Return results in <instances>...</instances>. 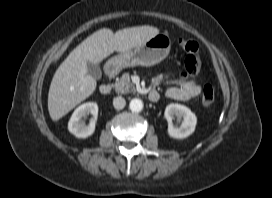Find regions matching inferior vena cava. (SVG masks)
<instances>
[{
	"instance_id": "602c4592",
	"label": "inferior vena cava",
	"mask_w": 272,
	"mask_h": 198,
	"mask_svg": "<svg viewBox=\"0 0 272 198\" xmlns=\"http://www.w3.org/2000/svg\"><path fill=\"white\" fill-rule=\"evenodd\" d=\"M126 105V101L123 97L118 96L113 99V106L115 109L120 110L123 109Z\"/></svg>"
}]
</instances>
